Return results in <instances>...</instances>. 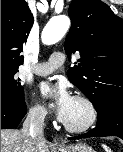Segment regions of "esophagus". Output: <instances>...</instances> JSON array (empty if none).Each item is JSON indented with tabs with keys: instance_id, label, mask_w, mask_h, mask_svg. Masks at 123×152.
Here are the masks:
<instances>
[{
	"instance_id": "1",
	"label": "esophagus",
	"mask_w": 123,
	"mask_h": 152,
	"mask_svg": "<svg viewBox=\"0 0 123 152\" xmlns=\"http://www.w3.org/2000/svg\"><path fill=\"white\" fill-rule=\"evenodd\" d=\"M53 144H54L55 146H60V145H61V143H60L57 139H54V140H53Z\"/></svg>"
}]
</instances>
